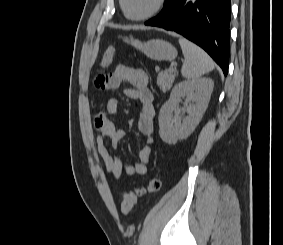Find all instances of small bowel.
Returning <instances> with one entry per match:
<instances>
[{
	"instance_id": "small-bowel-1",
	"label": "small bowel",
	"mask_w": 283,
	"mask_h": 245,
	"mask_svg": "<svg viewBox=\"0 0 283 245\" xmlns=\"http://www.w3.org/2000/svg\"><path fill=\"white\" fill-rule=\"evenodd\" d=\"M123 83L128 85L124 90L125 96L137 101L140 105L138 125L140 132L146 136L147 144L139 151V161L134 165L122 162L117 155L109 151L107 141L112 148L116 149L125 135L124 131L111 119V116L117 112L118 100L110 97L107 101V111L97 113L94 124L98 130L96 136L98 152L104 161L106 172L114 178H119L123 172L127 175L147 173L154 133V96L148 88V77L144 71L121 64L113 72L100 74L94 80L95 87L101 90H115Z\"/></svg>"
}]
</instances>
